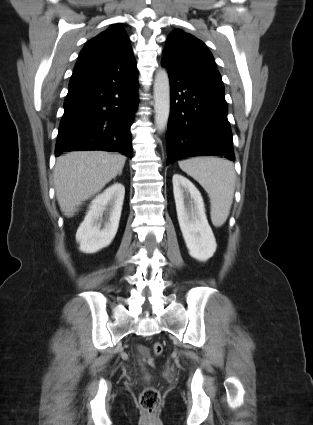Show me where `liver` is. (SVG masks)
I'll return each mask as SVG.
<instances>
[{"label": "liver", "mask_w": 313, "mask_h": 425, "mask_svg": "<svg viewBox=\"0 0 313 425\" xmlns=\"http://www.w3.org/2000/svg\"><path fill=\"white\" fill-rule=\"evenodd\" d=\"M126 157L104 151H76L57 158L54 184L58 204L72 217L82 202L97 194L117 176Z\"/></svg>", "instance_id": "1"}]
</instances>
